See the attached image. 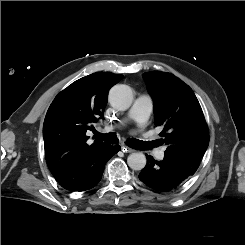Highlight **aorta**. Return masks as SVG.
I'll return each instance as SVG.
<instances>
[{"label": "aorta", "mask_w": 245, "mask_h": 245, "mask_svg": "<svg viewBox=\"0 0 245 245\" xmlns=\"http://www.w3.org/2000/svg\"><path fill=\"white\" fill-rule=\"evenodd\" d=\"M108 100L114 109L126 111L132 105L133 91L127 85H115L109 92ZM127 164L132 170H141L146 165V156L140 152L132 153L127 158Z\"/></svg>", "instance_id": "aorta-1"}]
</instances>
